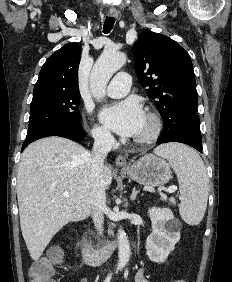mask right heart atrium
<instances>
[{
  "label": "right heart atrium",
  "instance_id": "obj_1",
  "mask_svg": "<svg viewBox=\"0 0 232 282\" xmlns=\"http://www.w3.org/2000/svg\"><path fill=\"white\" fill-rule=\"evenodd\" d=\"M94 139L102 145H110L113 142V137L110 132L103 126L94 125L92 129Z\"/></svg>",
  "mask_w": 232,
  "mask_h": 282
}]
</instances>
